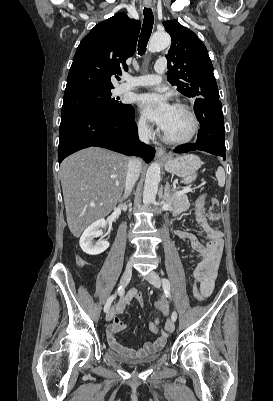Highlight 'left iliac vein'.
Here are the masks:
<instances>
[{"label": "left iliac vein", "mask_w": 273, "mask_h": 401, "mask_svg": "<svg viewBox=\"0 0 273 401\" xmlns=\"http://www.w3.org/2000/svg\"><path fill=\"white\" fill-rule=\"evenodd\" d=\"M146 279L156 288H159L161 285V279L159 275L155 271H151L148 276H146ZM165 329L169 333L174 332L175 330V325L174 321L172 319H168L165 324Z\"/></svg>", "instance_id": "4c4485c4"}]
</instances>
